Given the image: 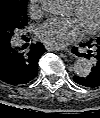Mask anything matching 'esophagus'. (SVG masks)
I'll list each match as a JSON object with an SVG mask.
<instances>
[{"mask_svg": "<svg viewBox=\"0 0 100 118\" xmlns=\"http://www.w3.org/2000/svg\"><path fill=\"white\" fill-rule=\"evenodd\" d=\"M45 49L48 50V51H55V50H56V51H59V49L53 48V47H51V46H49V45H45ZM64 51L71 53V51H69V50H67V49H65Z\"/></svg>", "mask_w": 100, "mask_h": 118, "instance_id": "1", "label": "esophagus"}]
</instances>
